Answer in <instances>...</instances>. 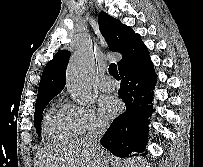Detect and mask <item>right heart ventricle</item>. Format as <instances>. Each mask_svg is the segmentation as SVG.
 <instances>
[{
  "label": "right heart ventricle",
  "mask_w": 203,
  "mask_h": 167,
  "mask_svg": "<svg viewBox=\"0 0 203 167\" xmlns=\"http://www.w3.org/2000/svg\"><path fill=\"white\" fill-rule=\"evenodd\" d=\"M43 129L45 136L51 141H68L76 136L67 109L57 105H52L47 111Z\"/></svg>",
  "instance_id": "e07e8e85"
}]
</instances>
